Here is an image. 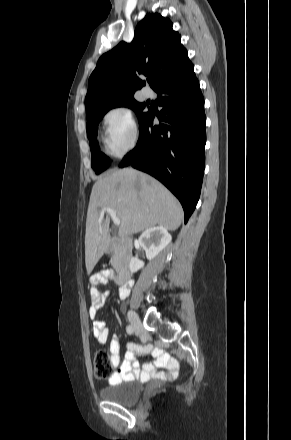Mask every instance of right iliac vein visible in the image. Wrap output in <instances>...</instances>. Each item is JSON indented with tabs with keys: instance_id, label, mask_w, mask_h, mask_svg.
Masks as SVG:
<instances>
[{
	"instance_id": "1",
	"label": "right iliac vein",
	"mask_w": 291,
	"mask_h": 440,
	"mask_svg": "<svg viewBox=\"0 0 291 440\" xmlns=\"http://www.w3.org/2000/svg\"><path fill=\"white\" fill-rule=\"evenodd\" d=\"M128 319H129L133 329L135 330V332L137 334H139L140 330L142 328V323H141L139 317L137 316V314L134 311H129L128 312Z\"/></svg>"
}]
</instances>
